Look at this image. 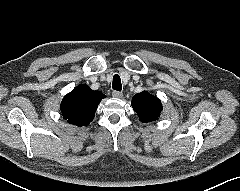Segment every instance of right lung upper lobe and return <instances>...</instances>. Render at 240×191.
<instances>
[{"label": "right lung upper lobe", "mask_w": 240, "mask_h": 191, "mask_svg": "<svg viewBox=\"0 0 240 191\" xmlns=\"http://www.w3.org/2000/svg\"><path fill=\"white\" fill-rule=\"evenodd\" d=\"M105 95L87 85H79L68 93L61 102L62 116L68 123L84 126L94 118L97 106Z\"/></svg>", "instance_id": "cb5924a9"}]
</instances>
